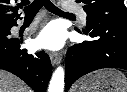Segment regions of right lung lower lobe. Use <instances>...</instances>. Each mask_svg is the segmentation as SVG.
I'll return each mask as SVG.
<instances>
[{
  "mask_svg": "<svg viewBox=\"0 0 127 92\" xmlns=\"http://www.w3.org/2000/svg\"><path fill=\"white\" fill-rule=\"evenodd\" d=\"M16 25L14 22L0 30V69L17 75L35 92H45L52 74L49 56L44 52L28 54L21 49L23 39L10 36L11 27Z\"/></svg>",
  "mask_w": 127,
  "mask_h": 92,
  "instance_id": "98d812e1",
  "label": "right lung lower lobe"
}]
</instances>
